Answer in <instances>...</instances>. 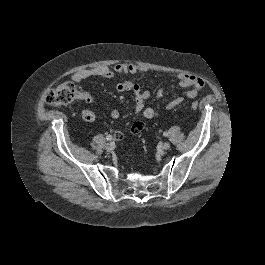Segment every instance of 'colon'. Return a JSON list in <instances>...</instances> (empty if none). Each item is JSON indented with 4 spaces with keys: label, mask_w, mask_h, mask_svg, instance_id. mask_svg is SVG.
<instances>
[{
    "label": "colon",
    "mask_w": 265,
    "mask_h": 265,
    "mask_svg": "<svg viewBox=\"0 0 265 265\" xmlns=\"http://www.w3.org/2000/svg\"><path fill=\"white\" fill-rule=\"evenodd\" d=\"M80 96L81 92L78 88L73 83L66 82L49 90L45 95V101L51 106L63 107L79 99ZM197 107V102L191 104L193 110L197 109ZM83 116L87 121H92L94 119V113L91 110H85Z\"/></svg>",
    "instance_id": "1"
}]
</instances>
